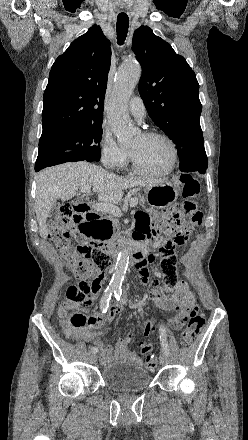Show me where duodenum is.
Segmentation results:
<instances>
[{"label": "duodenum", "instance_id": "1", "mask_svg": "<svg viewBox=\"0 0 248 440\" xmlns=\"http://www.w3.org/2000/svg\"><path fill=\"white\" fill-rule=\"evenodd\" d=\"M79 207L82 210L84 216V228H92L94 219L98 218L97 215L89 212L90 208L87 203H81L79 204ZM101 246L103 247V250L107 255H110L114 258H116L118 254L123 250H127L138 268H141L144 265L145 250L142 246V238L137 235H134L132 237V240L125 245L110 244L109 246H104L101 241Z\"/></svg>", "mask_w": 248, "mask_h": 440}]
</instances>
